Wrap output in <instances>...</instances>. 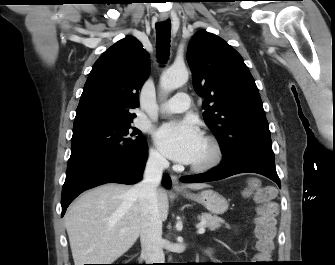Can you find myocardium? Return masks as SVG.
<instances>
[{
  "label": "myocardium",
  "instance_id": "1",
  "mask_svg": "<svg viewBox=\"0 0 335 265\" xmlns=\"http://www.w3.org/2000/svg\"><path fill=\"white\" fill-rule=\"evenodd\" d=\"M203 140L210 146L211 156L203 163L190 165V170L195 173H206L213 170L221 163L224 155L223 147L215 136L206 135Z\"/></svg>",
  "mask_w": 335,
  "mask_h": 265
}]
</instances>
